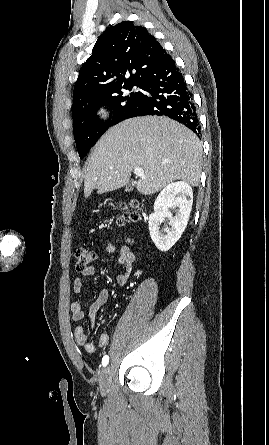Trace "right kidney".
<instances>
[{"label": "right kidney", "mask_w": 269, "mask_h": 445, "mask_svg": "<svg viewBox=\"0 0 269 445\" xmlns=\"http://www.w3.org/2000/svg\"><path fill=\"white\" fill-rule=\"evenodd\" d=\"M193 203V191L184 181L170 183L157 196L154 203V213L149 216V232L152 241L160 251H168L181 237L189 221ZM169 208H176L173 216ZM168 217L170 228L160 225Z\"/></svg>", "instance_id": "1"}]
</instances>
